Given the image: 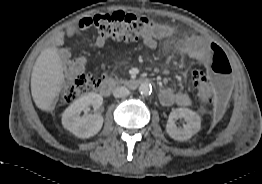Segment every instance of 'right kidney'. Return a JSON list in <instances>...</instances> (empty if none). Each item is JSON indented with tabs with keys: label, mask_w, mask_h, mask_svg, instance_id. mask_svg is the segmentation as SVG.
I'll use <instances>...</instances> for the list:
<instances>
[{
	"label": "right kidney",
	"mask_w": 262,
	"mask_h": 184,
	"mask_svg": "<svg viewBox=\"0 0 262 184\" xmlns=\"http://www.w3.org/2000/svg\"><path fill=\"white\" fill-rule=\"evenodd\" d=\"M103 102L101 95L89 93L73 102L62 114V125L78 138H90L102 128L103 117L101 114H86L81 112L89 106L98 109Z\"/></svg>",
	"instance_id": "ca27d5eb"
}]
</instances>
